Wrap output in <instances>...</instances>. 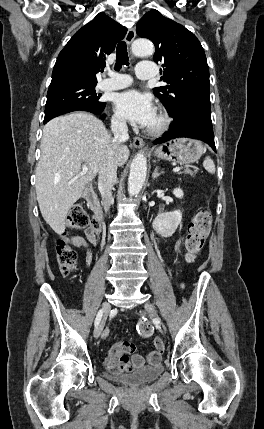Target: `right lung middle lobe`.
Listing matches in <instances>:
<instances>
[{"label":"right lung middle lobe","mask_w":264,"mask_h":429,"mask_svg":"<svg viewBox=\"0 0 264 429\" xmlns=\"http://www.w3.org/2000/svg\"><path fill=\"white\" fill-rule=\"evenodd\" d=\"M95 86L96 84H67L49 88L44 121L77 110L102 112L106 104L99 101L101 94L96 93Z\"/></svg>","instance_id":"1"}]
</instances>
